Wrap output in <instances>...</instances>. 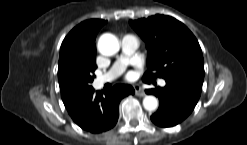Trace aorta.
Masks as SVG:
<instances>
[{"label":"aorta","instance_id":"1","mask_svg":"<svg viewBox=\"0 0 247 145\" xmlns=\"http://www.w3.org/2000/svg\"><path fill=\"white\" fill-rule=\"evenodd\" d=\"M119 49V41L113 34H103L98 40V50L102 55H115ZM143 106L147 111H154L158 107V100L155 96H145L143 99Z\"/></svg>","mask_w":247,"mask_h":145}]
</instances>
